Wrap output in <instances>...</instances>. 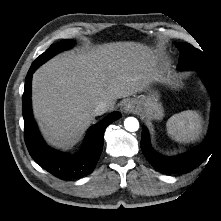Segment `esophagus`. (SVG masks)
<instances>
[{"label":"esophagus","mask_w":221,"mask_h":221,"mask_svg":"<svg viewBox=\"0 0 221 221\" xmlns=\"http://www.w3.org/2000/svg\"><path fill=\"white\" fill-rule=\"evenodd\" d=\"M137 110L136 102L133 100H129L124 104V111L126 113H133Z\"/></svg>","instance_id":"1"}]
</instances>
